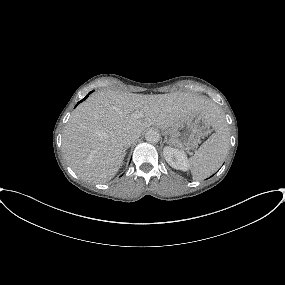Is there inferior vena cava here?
Listing matches in <instances>:
<instances>
[{"label":"inferior vena cava","mask_w":285,"mask_h":285,"mask_svg":"<svg viewBox=\"0 0 285 285\" xmlns=\"http://www.w3.org/2000/svg\"><path fill=\"white\" fill-rule=\"evenodd\" d=\"M139 138L137 134H125L122 137V143L125 147L130 146L134 141H136Z\"/></svg>","instance_id":"obj_1"}]
</instances>
